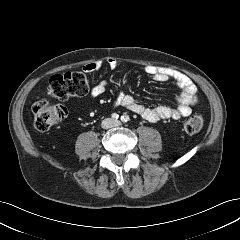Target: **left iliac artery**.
I'll use <instances>...</instances> for the list:
<instances>
[{
	"mask_svg": "<svg viewBox=\"0 0 240 240\" xmlns=\"http://www.w3.org/2000/svg\"><path fill=\"white\" fill-rule=\"evenodd\" d=\"M121 121L124 122V123H126V122L130 121V117H129L128 115H123V116L121 117Z\"/></svg>",
	"mask_w": 240,
	"mask_h": 240,
	"instance_id": "1",
	"label": "left iliac artery"
}]
</instances>
